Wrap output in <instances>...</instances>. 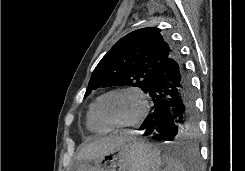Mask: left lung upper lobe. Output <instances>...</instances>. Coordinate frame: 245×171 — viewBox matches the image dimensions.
Wrapping results in <instances>:
<instances>
[{"label": "left lung upper lobe", "instance_id": "5c2ea615", "mask_svg": "<svg viewBox=\"0 0 245 171\" xmlns=\"http://www.w3.org/2000/svg\"><path fill=\"white\" fill-rule=\"evenodd\" d=\"M176 51L156 27L142 28L121 38L101 59L90 78L85 97L99 87L128 85L145 93Z\"/></svg>", "mask_w": 245, "mask_h": 171}]
</instances>
